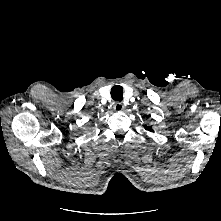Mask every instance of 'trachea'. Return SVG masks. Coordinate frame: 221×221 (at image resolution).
Instances as JSON below:
<instances>
[{
	"label": "trachea",
	"mask_w": 221,
	"mask_h": 221,
	"mask_svg": "<svg viewBox=\"0 0 221 221\" xmlns=\"http://www.w3.org/2000/svg\"><path fill=\"white\" fill-rule=\"evenodd\" d=\"M111 97L115 101H122L123 100V88L119 85L113 86L111 88Z\"/></svg>",
	"instance_id": "trachea-1"
}]
</instances>
